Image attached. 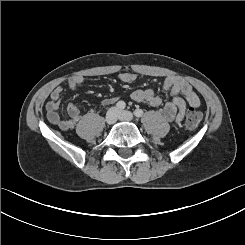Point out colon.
<instances>
[{
	"label": "colon",
	"mask_w": 245,
	"mask_h": 245,
	"mask_svg": "<svg viewBox=\"0 0 245 245\" xmlns=\"http://www.w3.org/2000/svg\"><path fill=\"white\" fill-rule=\"evenodd\" d=\"M202 120V114L193 108H190L186 112V126L190 129L196 128Z\"/></svg>",
	"instance_id": "obj_1"
}]
</instances>
